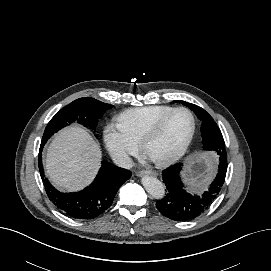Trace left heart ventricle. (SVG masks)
<instances>
[{
  "mask_svg": "<svg viewBox=\"0 0 271 271\" xmlns=\"http://www.w3.org/2000/svg\"><path fill=\"white\" fill-rule=\"evenodd\" d=\"M192 128L190 115L185 111L173 114L159 134L147 147L150 158H163L180 149L189 137Z\"/></svg>",
  "mask_w": 271,
  "mask_h": 271,
  "instance_id": "left-heart-ventricle-1",
  "label": "left heart ventricle"
}]
</instances>
